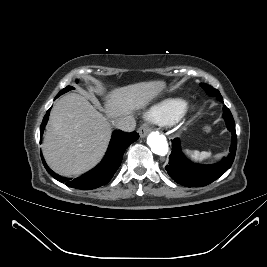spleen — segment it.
I'll return each instance as SVG.
<instances>
[{
  "instance_id": "3e777b00",
  "label": "spleen",
  "mask_w": 267,
  "mask_h": 267,
  "mask_svg": "<svg viewBox=\"0 0 267 267\" xmlns=\"http://www.w3.org/2000/svg\"><path fill=\"white\" fill-rule=\"evenodd\" d=\"M185 154L188 155L192 160L196 162H202L204 160H207L211 156V152L202 151L199 152L197 150L191 151V150H184Z\"/></svg>"
}]
</instances>
